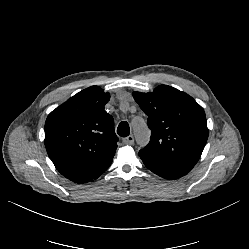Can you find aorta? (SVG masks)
<instances>
[{"label": "aorta", "instance_id": "aorta-1", "mask_svg": "<svg viewBox=\"0 0 249 249\" xmlns=\"http://www.w3.org/2000/svg\"><path fill=\"white\" fill-rule=\"evenodd\" d=\"M133 128L137 143L141 146L146 145L150 138V132L147 128L146 123H144L143 121L142 122L134 121Z\"/></svg>", "mask_w": 249, "mask_h": 249}]
</instances>
